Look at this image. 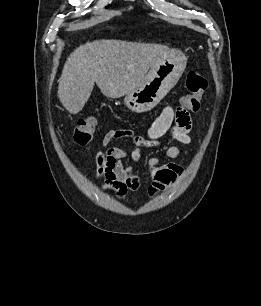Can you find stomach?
Instances as JSON below:
<instances>
[{
	"label": "stomach",
	"instance_id": "stomach-1",
	"mask_svg": "<svg viewBox=\"0 0 261 306\" xmlns=\"http://www.w3.org/2000/svg\"><path fill=\"white\" fill-rule=\"evenodd\" d=\"M187 58L179 50H171L150 68L143 81L124 98L128 109L143 113L153 109L176 85L186 68Z\"/></svg>",
	"mask_w": 261,
	"mask_h": 306
}]
</instances>
